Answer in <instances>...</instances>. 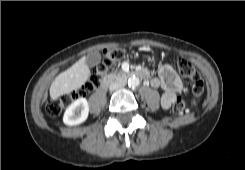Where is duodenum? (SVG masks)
Returning a JSON list of instances; mask_svg holds the SVG:
<instances>
[{
  "mask_svg": "<svg viewBox=\"0 0 245 170\" xmlns=\"http://www.w3.org/2000/svg\"><path fill=\"white\" fill-rule=\"evenodd\" d=\"M135 74L140 77V78H145L147 76L146 71L144 70H138L135 72ZM126 75L123 73H119V74H115L113 76H107L105 78L102 79L101 83H100V88L104 89L106 88L109 83L113 80V79H122L124 78Z\"/></svg>",
  "mask_w": 245,
  "mask_h": 170,
  "instance_id": "1",
  "label": "duodenum"
}]
</instances>
